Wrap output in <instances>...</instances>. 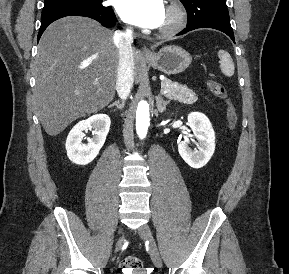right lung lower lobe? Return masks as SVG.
Returning <instances> with one entry per match:
<instances>
[{
  "label": "right lung lower lobe",
  "mask_w": 289,
  "mask_h": 274,
  "mask_svg": "<svg viewBox=\"0 0 289 274\" xmlns=\"http://www.w3.org/2000/svg\"><path fill=\"white\" fill-rule=\"evenodd\" d=\"M66 16L89 17L100 22L105 27H112L116 23V17L114 11L111 8L105 11L88 10L79 7H68L50 10L47 12H42L41 27L38 33V39H40L42 33L44 32L46 27H48L49 24H51L57 19Z\"/></svg>",
  "instance_id": "98d812e1"
}]
</instances>
